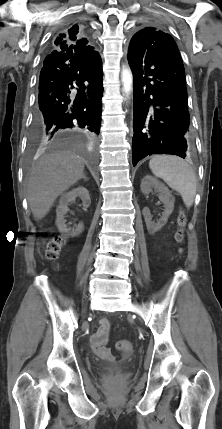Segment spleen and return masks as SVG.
Listing matches in <instances>:
<instances>
[{
  "instance_id": "obj_1",
  "label": "spleen",
  "mask_w": 222,
  "mask_h": 429,
  "mask_svg": "<svg viewBox=\"0 0 222 429\" xmlns=\"http://www.w3.org/2000/svg\"><path fill=\"white\" fill-rule=\"evenodd\" d=\"M152 173L177 191L186 207H191L196 195V176L191 166L177 156L155 155L149 162Z\"/></svg>"
}]
</instances>
